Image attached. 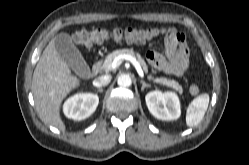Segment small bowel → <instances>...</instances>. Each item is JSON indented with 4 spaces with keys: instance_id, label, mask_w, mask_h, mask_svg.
<instances>
[{
    "instance_id": "obj_1",
    "label": "small bowel",
    "mask_w": 249,
    "mask_h": 165,
    "mask_svg": "<svg viewBox=\"0 0 249 165\" xmlns=\"http://www.w3.org/2000/svg\"><path fill=\"white\" fill-rule=\"evenodd\" d=\"M180 33L176 28H169L165 33V53L162 55L157 51H149L147 58L149 63L164 73L182 76L189 64V53L185 41H181Z\"/></svg>"
}]
</instances>
